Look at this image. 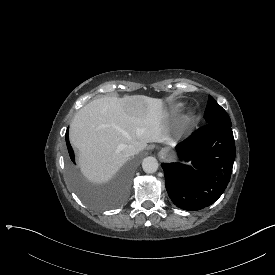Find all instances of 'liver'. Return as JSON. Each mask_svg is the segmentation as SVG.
<instances>
[{
	"label": "liver",
	"instance_id": "6515ba94",
	"mask_svg": "<svg viewBox=\"0 0 275 275\" xmlns=\"http://www.w3.org/2000/svg\"><path fill=\"white\" fill-rule=\"evenodd\" d=\"M162 99L144 95L103 97L81 108L70 124L69 138L79 150L78 164L92 183H105L127 162L125 145L142 151L147 143L173 145L162 134Z\"/></svg>",
	"mask_w": 275,
	"mask_h": 275
}]
</instances>
